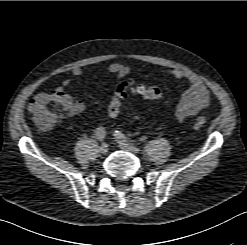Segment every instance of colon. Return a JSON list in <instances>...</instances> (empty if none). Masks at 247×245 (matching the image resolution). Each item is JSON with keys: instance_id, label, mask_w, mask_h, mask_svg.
I'll use <instances>...</instances> for the list:
<instances>
[{"instance_id": "5ec220e1", "label": "colon", "mask_w": 247, "mask_h": 245, "mask_svg": "<svg viewBox=\"0 0 247 245\" xmlns=\"http://www.w3.org/2000/svg\"><path fill=\"white\" fill-rule=\"evenodd\" d=\"M128 92L138 94L146 99H158L162 96V91L157 86L135 84L131 80L121 81L116 86L107 108V115L110 118L114 119L119 115ZM68 106V101L61 94L44 93L30 101L29 111L36 125L43 130H48L66 113ZM205 123V118L199 116L195 120L194 126L196 129H201Z\"/></svg>"}]
</instances>
